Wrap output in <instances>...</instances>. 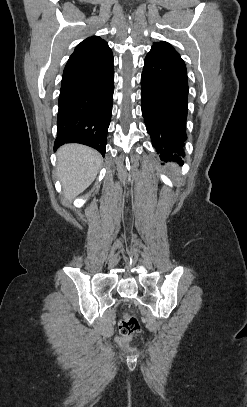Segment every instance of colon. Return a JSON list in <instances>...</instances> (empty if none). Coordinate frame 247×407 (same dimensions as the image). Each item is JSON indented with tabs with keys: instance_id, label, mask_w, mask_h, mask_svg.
Listing matches in <instances>:
<instances>
[{
	"instance_id": "obj_1",
	"label": "colon",
	"mask_w": 247,
	"mask_h": 407,
	"mask_svg": "<svg viewBox=\"0 0 247 407\" xmlns=\"http://www.w3.org/2000/svg\"><path fill=\"white\" fill-rule=\"evenodd\" d=\"M141 329L139 320L131 313L126 311L119 322V336L117 343L122 347H127L131 337L137 334Z\"/></svg>"
}]
</instances>
